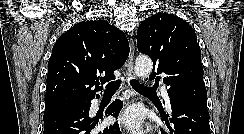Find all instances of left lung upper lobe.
Here are the masks:
<instances>
[{"label":"left lung upper lobe","instance_id":"1","mask_svg":"<svg viewBox=\"0 0 244 134\" xmlns=\"http://www.w3.org/2000/svg\"><path fill=\"white\" fill-rule=\"evenodd\" d=\"M138 51L153 61L150 80H160L168 88L170 100L207 106L203 82L201 50L192 27L183 19L156 13L144 20L137 30Z\"/></svg>","mask_w":244,"mask_h":134}]
</instances>
